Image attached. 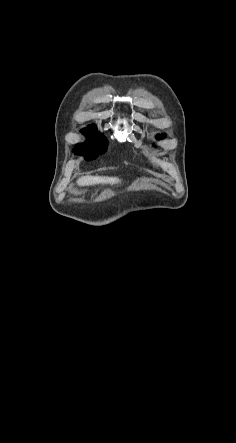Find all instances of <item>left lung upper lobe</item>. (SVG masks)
I'll list each match as a JSON object with an SVG mask.
<instances>
[{
	"instance_id": "obj_1",
	"label": "left lung upper lobe",
	"mask_w": 236,
	"mask_h": 443,
	"mask_svg": "<svg viewBox=\"0 0 236 443\" xmlns=\"http://www.w3.org/2000/svg\"><path fill=\"white\" fill-rule=\"evenodd\" d=\"M157 137H159V139H162V138L165 137V135H164V134H162L161 136H160V135H157Z\"/></svg>"
}]
</instances>
